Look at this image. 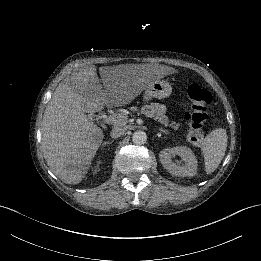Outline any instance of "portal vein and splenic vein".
I'll use <instances>...</instances> for the list:
<instances>
[{
	"label": "portal vein and splenic vein",
	"mask_w": 261,
	"mask_h": 261,
	"mask_svg": "<svg viewBox=\"0 0 261 261\" xmlns=\"http://www.w3.org/2000/svg\"><path fill=\"white\" fill-rule=\"evenodd\" d=\"M141 114L147 116L149 119L153 118V115L149 111H147V110H142ZM123 118H124V116L116 117L114 115H111V116H104V115H102V116L96 117L95 119H93V121H95V122H99L100 121V122H102L104 124L110 125V124H115V123H121Z\"/></svg>",
	"instance_id": "portal-vein-and-splenic-vein-1"
}]
</instances>
